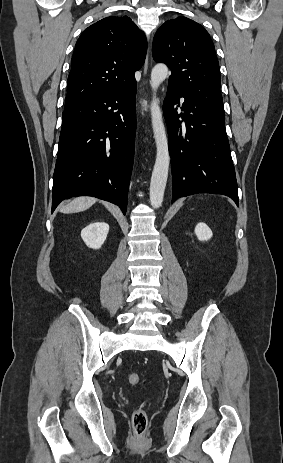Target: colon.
I'll return each mask as SVG.
<instances>
[{
  "label": "colon",
  "instance_id": "obj_1",
  "mask_svg": "<svg viewBox=\"0 0 283 463\" xmlns=\"http://www.w3.org/2000/svg\"><path fill=\"white\" fill-rule=\"evenodd\" d=\"M127 380L130 384H139L140 377L135 372H129L127 374ZM144 384V382H142ZM132 422L134 427V433L136 437H142L145 433V428L147 424V415L145 411L141 408H137L132 415Z\"/></svg>",
  "mask_w": 283,
  "mask_h": 463
}]
</instances>
